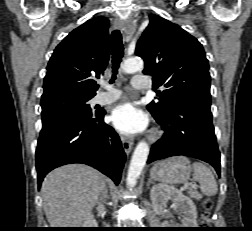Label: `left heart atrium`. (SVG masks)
I'll return each instance as SVG.
<instances>
[{
  "label": "left heart atrium",
  "instance_id": "obj_1",
  "mask_svg": "<svg viewBox=\"0 0 252 231\" xmlns=\"http://www.w3.org/2000/svg\"><path fill=\"white\" fill-rule=\"evenodd\" d=\"M110 120L115 129L128 135L144 131L148 125L146 114L131 103L117 106L113 110Z\"/></svg>",
  "mask_w": 252,
  "mask_h": 231
}]
</instances>
